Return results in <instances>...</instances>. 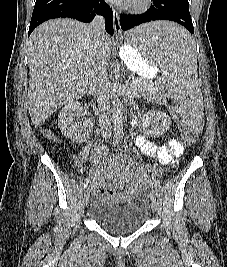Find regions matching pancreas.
I'll list each match as a JSON object with an SVG mask.
<instances>
[{"label":"pancreas","instance_id":"obj_1","mask_svg":"<svg viewBox=\"0 0 227 267\" xmlns=\"http://www.w3.org/2000/svg\"><path fill=\"white\" fill-rule=\"evenodd\" d=\"M134 84H136V88H138L139 91L146 93H152V91L155 89L151 82L143 78H138Z\"/></svg>","mask_w":227,"mask_h":267}]
</instances>
